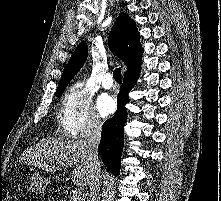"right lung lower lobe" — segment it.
Segmentation results:
<instances>
[{
    "label": "right lung lower lobe",
    "instance_id": "1",
    "mask_svg": "<svg viewBox=\"0 0 221 201\" xmlns=\"http://www.w3.org/2000/svg\"><path fill=\"white\" fill-rule=\"evenodd\" d=\"M140 69L124 75L123 84L117 97L116 114L102 126V136L98 147L104 165L117 176L121 166V154L124 144V125L127 121L125 105L129 102L128 93L135 86Z\"/></svg>",
    "mask_w": 221,
    "mask_h": 201
}]
</instances>
